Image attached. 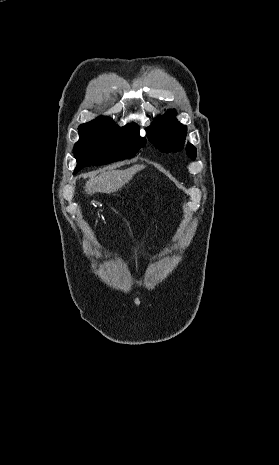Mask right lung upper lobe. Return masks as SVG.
<instances>
[{
	"mask_svg": "<svg viewBox=\"0 0 279 465\" xmlns=\"http://www.w3.org/2000/svg\"><path fill=\"white\" fill-rule=\"evenodd\" d=\"M98 125H115V126H117L112 121L111 118L101 116V117L96 118L93 121H90L88 123L80 125L78 129L79 130H84V129H87V128H90V127H93V126H98ZM126 127H136V128H138V126L136 124H130V125H127Z\"/></svg>",
	"mask_w": 279,
	"mask_h": 465,
	"instance_id": "right-lung-upper-lobe-1",
	"label": "right lung upper lobe"
}]
</instances>
